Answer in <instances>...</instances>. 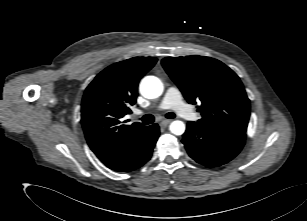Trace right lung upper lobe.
Wrapping results in <instances>:
<instances>
[{
    "mask_svg": "<svg viewBox=\"0 0 307 221\" xmlns=\"http://www.w3.org/2000/svg\"><path fill=\"white\" fill-rule=\"evenodd\" d=\"M153 57H134L115 63L86 88L82 100L81 123L89 147L102 161L134 138L145 126L124 124L131 113L140 79L156 63Z\"/></svg>",
    "mask_w": 307,
    "mask_h": 221,
    "instance_id": "cb5924a9",
    "label": "right lung upper lobe"
}]
</instances>
